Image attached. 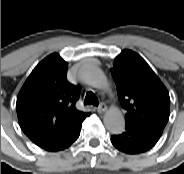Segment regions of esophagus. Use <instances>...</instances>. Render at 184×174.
Instances as JSON below:
<instances>
[{
	"instance_id": "esophagus-1",
	"label": "esophagus",
	"mask_w": 184,
	"mask_h": 174,
	"mask_svg": "<svg viewBox=\"0 0 184 174\" xmlns=\"http://www.w3.org/2000/svg\"><path fill=\"white\" fill-rule=\"evenodd\" d=\"M99 112H105L107 110V105L105 102H101L97 108Z\"/></svg>"
}]
</instances>
